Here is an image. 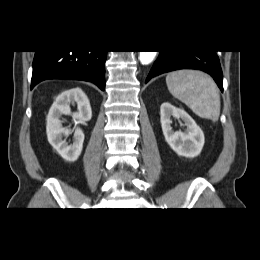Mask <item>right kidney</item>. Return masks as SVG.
I'll use <instances>...</instances> for the list:
<instances>
[{
	"mask_svg": "<svg viewBox=\"0 0 260 260\" xmlns=\"http://www.w3.org/2000/svg\"><path fill=\"white\" fill-rule=\"evenodd\" d=\"M77 105V111L72 113L70 105ZM71 114L75 122L89 121L92 117L90 102L80 88L67 90L60 94L53 103L47 116L46 132L49 143L66 160L74 162L81 154L84 134L80 128L70 130L62 127V115ZM74 131L73 144L68 145L66 139Z\"/></svg>",
	"mask_w": 260,
	"mask_h": 260,
	"instance_id": "obj_1",
	"label": "right kidney"
}]
</instances>
